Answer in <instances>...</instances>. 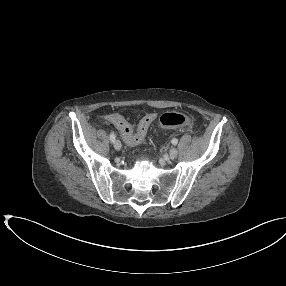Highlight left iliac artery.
<instances>
[{
    "instance_id": "obj_1",
    "label": "left iliac artery",
    "mask_w": 286,
    "mask_h": 286,
    "mask_svg": "<svg viewBox=\"0 0 286 286\" xmlns=\"http://www.w3.org/2000/svg\"><path fill=\"white\" fill-rule=\"evenodd\" d=\"M171 142H172L173 145H176L178 143V140L176 138H174V139H172Z\"/></svg>"
}]
</instances>
